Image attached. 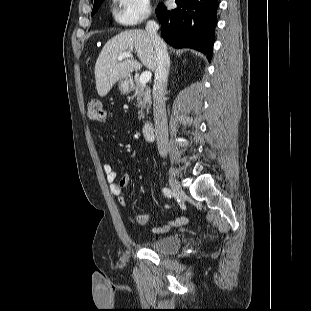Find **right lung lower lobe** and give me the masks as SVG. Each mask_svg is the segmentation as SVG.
I'll use <instances>...</instances> for the list:
<instances>
[{
  "label": "right lung lower lobe",
  "mask_w": 311,
  "mask_h": 311,
  "mask_svg": "<svg viewBox=\"0 0 311 311\" xmlns=\"http://www.w3.org/2000/svg\"><path fill=\"white\" fill-rule=\"evenodd\" d=\"M178 7L167 10L163 3L156 9L161 36L175 48H193L211 59L217 25L218 0H176Z\"/></svg>",
  "instance_id": "1"
}]
</instances>
